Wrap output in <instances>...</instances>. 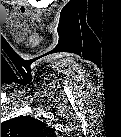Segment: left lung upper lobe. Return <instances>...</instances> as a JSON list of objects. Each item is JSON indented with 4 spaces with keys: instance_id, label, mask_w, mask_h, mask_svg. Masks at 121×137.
<instances>
[{
    "instance_id": "5c2ea615",
    "label": "left lung upper lobe",
    "mask_w": 121,
    "mask_h": 137,
    "mask_svg": "<svg viewBox=\"0 0 121 137\" xmlns=\"http://www.w3.org/2000/svg\"><path fill=\"white\" fill-rule=\"evenodd\" d=\"M1 134L4 136L45 137L51 136L53 130L46 123L31 116H20L1 124Z\"/></svg>"
}]
</instances>
